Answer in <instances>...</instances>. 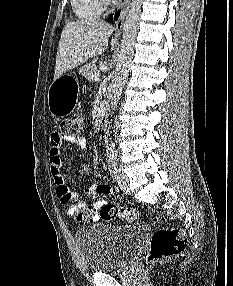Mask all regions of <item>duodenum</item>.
<instances>
[{"label":"duodenum","mask_w":233,"mask_h":286,"mask_svg":"<svg viewBox=\"0 0 233 286\" xmlns=\"http://www.w3.org/2000/svg\"><path fill=\"white\" fill-rule=\"evenodd\" d=\"M107 109L105 107L101 108L99 112V121L102 127L106 126L107 124Z\"/></svg>","instance_id":"1"}]
</instances>
